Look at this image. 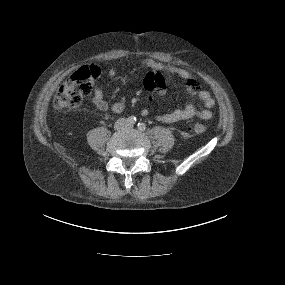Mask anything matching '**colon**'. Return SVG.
Returning a JSON list of instances; mask_svg holds the SVG:
<instances>
[{
    "label": "colon",
    "mask_w": 285,
    "mask_h": 285,
    "mask_svg": "<svg viewBox=\"0 0 285 285\" xmlns=\"http://www.w3.org/2000/svg\"><path fill=\"white\" fill-rule=\"evenodd\" d=\"M98 75L99 70L95 65H83L78 68L58 89L53 100L54 107L63 110L81 105L91 92L92 82ZM205 129L203 124L195 123L188 127V132L201 134Z\"/></svg>",
    "instance_id": "obj_1"
}]
</instances>
